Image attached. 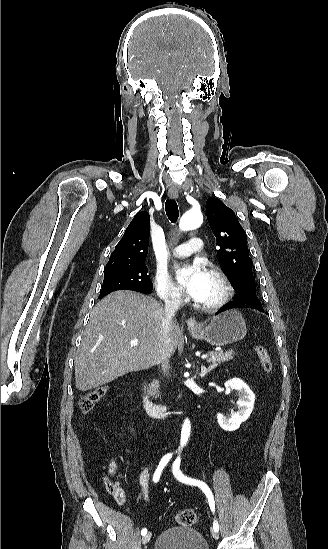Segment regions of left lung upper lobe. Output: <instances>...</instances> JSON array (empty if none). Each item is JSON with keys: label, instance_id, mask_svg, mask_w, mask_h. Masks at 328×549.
I'll return each mask as SVG.
<instances>
[{"label": "left lung upper lobe", "instance_id": "left-lung-upper-lobe-1", "mask_svg": "<svg viewBox=\"0 0 328 549\" xmlns=\"http://www.w3.org/2000/svg\"><path fill=\"white\" fill-rule=\"evenodd\" d=\"M207 219L217 240V259L227 275L237 296L235 300L257 303L252 260L247 246V236L233 210L218 198L206 202Z\"/></svg>", "mask_w": 328, "mask_h": 549}]
</instances>
